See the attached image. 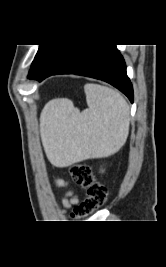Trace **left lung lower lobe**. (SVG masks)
I'll list each match as a JSON object with an SVG mask.
<instances>
[{"label":"left lung lower lobe","instance_id":"obj_1","mask_svg":"<svg viewBox=\"0 0 166 267\" xmlns=\"http://www.w3.org/2000/svg\"><path fill=\"white\" fill-rule=\"evenodd\" d=\"M56 74H76L103 80L118 88L133 102L132 84L116 45H56L32 79L42 81Z\"/></svg>","mask_w":166,"mask_h":267}]
</instances>
